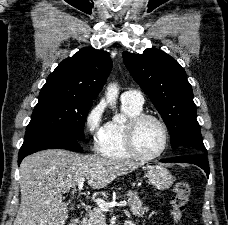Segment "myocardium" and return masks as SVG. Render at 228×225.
<instances>
[{"label":"myocardium","mask_w":228,"mask_h":225,"mask_svg":"<svg viewBox=\"0 0 228 225\" xmlns=\"http://www.w3.org/2000/svg\"><path fill=\"white\" fill-rule=\"evenodd\" d=\"M152 119L158 122L164 132V143L159 152L153 155H146L142 153L137 144V134L140 126L146 121ZM170 140V132L166 122L159 116L150 113H140L129 119L126 125V143L129 151L139 159L154 160L161 157L167 150Z\"/></svg>","instance_id":"obj_1"}]
</instances>
